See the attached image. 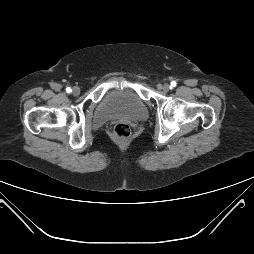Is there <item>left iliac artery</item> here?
<instances>
[{
	"instance_id": "left-iliac-artery-1",
	"label": "left iliac artery",
	"mask_w": 254,
	"mask_h": 254,
	"mask_svg": "<svg viewBox=\"0 0 254 254\" xmlns=\"http://www.w3.org/2000/svg\"><path fill=\"white\" fill-rule=\"evenodd\" d=\"M175 86H176V82L175 81L171 82L170 89L174 88Z\"/></svg>"
}]
</instances>
